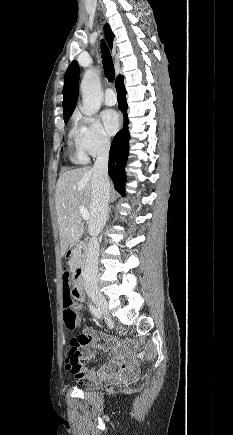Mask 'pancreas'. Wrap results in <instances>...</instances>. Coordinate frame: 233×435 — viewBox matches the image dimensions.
Returning <instances> with one entry per match:
<instances>
[{"label": "pancreas", "mask_w": 233, "mask_h": 435, "mask_svg": "<svg viewBox=\"0 0 233 435\" xmlns=\"http://www.w3.org/2000/svg\"><path fill=\"white\" fill-rule=\"evenodd\" d=\"M82 255L80 254V252L78 253H74L71 257V259L69 260V266L72 268L77 267L81 261H82Z\"/></svg>", "instance_id": "1"}]
</instances>
